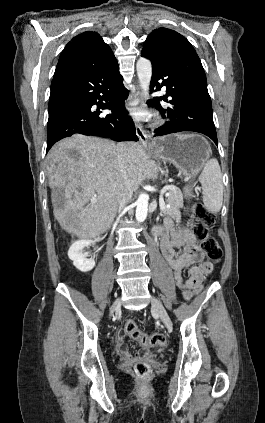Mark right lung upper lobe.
<instances>
[{"label":"right lung upper lobe","mask_w":265,"mask_h":423,"mask_svg":"<svg viewBox=\"0 0 265 423\" xmlns=\"http://www.w3.org/2000/svg\"><path fill=\"white\" fill-rule=\"evenodd\" d=\"M117 64L110 47L96 32L75 36L62 51L54 78L85 69H105Z\"/></svg>","instance_id":"obj_1"}]
</instances>
